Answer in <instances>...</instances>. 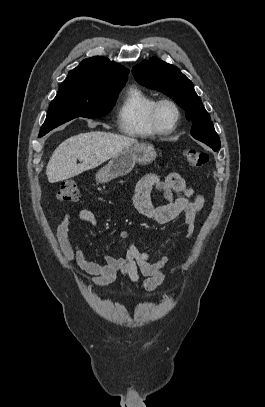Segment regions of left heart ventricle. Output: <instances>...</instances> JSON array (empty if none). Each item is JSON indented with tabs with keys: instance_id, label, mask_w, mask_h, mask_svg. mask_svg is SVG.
Returning a JSON list of instances; mask_svg holds the SVG:
<instances>
[{
	"instance_id": "obj_1",
	"label": "left heart ventricle",
	"mask_w": 265,
	"mask_h": 407,
	"mask_svg": "<svg viewBox=\"0 0 265 407\" xmlns=\"http://www.w3.org/2000/svg\"><path fill=\"white\" fill-rule=\"evenodd\" d=\"M175 120V112L170 106H163L160 111V121L164 127H170Z\"/></svg>"
}]
</instances>
